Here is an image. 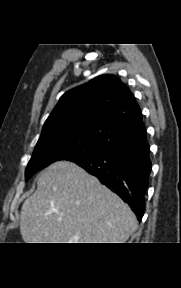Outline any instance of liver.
<instances>
[{
    "label": "liver",
    "mask_w": 181,
    "mask_h": 288,
    "mask_svg": "<svg viewBox=\"0 0 181 288\" xmlns=\"http://www.w3.org/2000/svg\"><path fill=\"white\" fill-rule=\"evenodd\" d=\"M136 229L130 207L69 161L44 169L21 208L25 243H125Z\"/></svg>",
    "instance_id": "1"
}]
</instances>
